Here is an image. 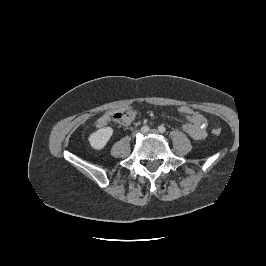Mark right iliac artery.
<instances>
[{
  "mask_svg": "<svg viewBox=\"0 0 266 266\" xmlns=\"http://www.w3.org/2000/svg\"><path fill=\"white\" fill-rule=\"evenodd\" d=\"M149 131V127L148 126H143V127H141V132L142 133H146V132H148Z\"/></svg>",
  "mask_w": 266,
  "mask_h": 266,
  "instance_id": "right-iliac-artery-1",
  "label": "right iliac artery"
}]
</instances>
